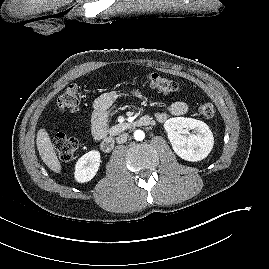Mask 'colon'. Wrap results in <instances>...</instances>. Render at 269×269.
Segmentation results:
<instances>
[{"mask_svg": "<svg viewBox=\"0 0 269 269\" xmlns=\"http://www.w3.org/2000/svg\"><path fill=\"white\" fill-rule=\"evenodd\" d=\"M146 82L151 88L166 94L176 93L180 90V85L177 82L158 73H149L146 76ZM57 106L61 112H77L80 106L79 87L75 84L69 85L58 97ZM198 111L205 118H211L215 113L214 106L211 103L201 104ZM53 145L60 159L69 161L74 157L79 142L73 137L58 134L54 138Z\"/></svg>", "mask_w": 269, "mask_h": 269, "instance_id": "obj_1", "label": "colon"}]
</instances>
